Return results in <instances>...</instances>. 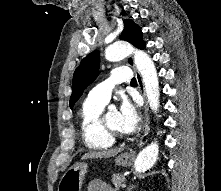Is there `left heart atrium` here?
Listing matches in <instances>:
<instances>
[{"label":"left heart atrium","mask_w":221,"mask_h":191,"mask_svg":"<svg viewBox=\"0 0 221 191\" xmlns=\"http://www.w3.org/2000/svg\"><path fill=\"white\" fill-rule=\"evenodd\" d=\"M120 127L124 133H133L139 125V114L134 103L124 99L120 106Z\"/></svg>","instance_id":"obj_1"}]
</instances>
